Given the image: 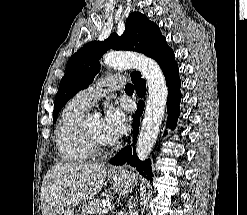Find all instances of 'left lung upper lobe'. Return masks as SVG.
<instances>
[{
	"mask_svg": "<svg viewBox=\"0 0 247 215\" xmlns=\"http://www.w3.org/2000/svg\"><path fill=\"white\" fill-rule=\"evenodd\" d=\"M164 42L165 37L154 22L139 12H133L127 18L125 31L121 36L113 33L105 41L86 44L67 62L66 73L55 96L53 122L67 101L93 82L100 70L99 59L107 50L137 51L153 57ZM134 73L136 72H132L131 76Z\"/></svg>",
	"mask_w": 247,
	"mask_h": 215,
	"instance_id": "obj_1",
	"label": "left lung upper lobe"
}]
</instances>
